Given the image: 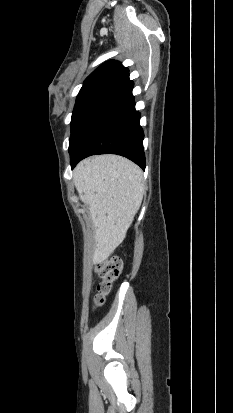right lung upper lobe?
I'll return each instance as SVG.
<instances>
[{
	"instance_id": "right-lung-upper-lobe-1",
	"label": "right lung upper lobe",
	"mask_w": 233,
	"mask_h": 413,
	"mask_svg": "<svg viewBox=\"0 0 233 413\" xmlns=\"http://www.w3.org/2000/svg\"><path fill=\"white\" fill-rule=\"evenodd\" d=\"M128 69L125 68L121 62L110 60L100 65L94 72H92L85 80L84 85L101 81L113 80L117 81L119 78L128 74ZM83 85V86H84Z\"/></svg>"
}]
</instances>
